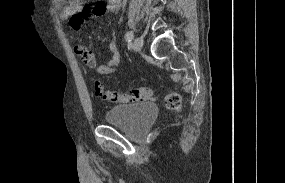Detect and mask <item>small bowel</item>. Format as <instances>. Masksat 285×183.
<instances>
[{"label":"small bowel","mask_w":285,"mask_h":183,"mask_svg":"<svg viewBox=\"0 0 285 183\" xmlns=\"http://www.w3.org/2000/svg\"><path fill=\"white\" fill-rule=\"evenodd\" d=\"M122 0H97L93 6L80 5L77 0H58L65 8L60 13L62 21L69 20L71 27L78 31L83 28L88 19L102 16L104 14H115L121 7ZM113 38L109 44L112 53L111 58L103 63L96 61L95 55L85 46L77 45L75 53L80 58L83 65L89 69L95 70L100 75H109L117 72L120 67L121 55L117 48L114 31Z\"/></svg>","instance_id":"obj_1"}]
</instances>
